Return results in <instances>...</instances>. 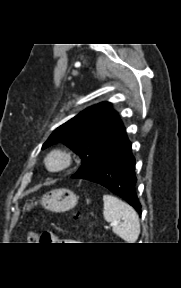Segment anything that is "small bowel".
<instances>
[{
  "mask_svg": "<svg viewBox=\"0 0 181 288\" xmlns=\"http://www.w3.org/2000/svg\"><path fill=\"white\" fill-rule=\"evenodd\" d=\"M49 241L50 242H61V243H76L77 242L73 238L62 237V236H58V235L53 234V233H49Z\"/></svg>",
  "mask_w": 181,
  "mask_h": 288,
  "instance_id": "obj_1",
  "label": "small bowel"
}]
</instances>
